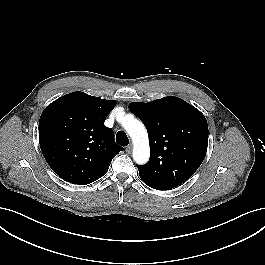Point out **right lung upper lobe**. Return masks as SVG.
Masks as SVG:
<instances>
[{
	"label": "right lung upper lobe",
	"instance_id": "cb5924a9",
	"mask_svg": "<svg viewBox=\"0 0 265 265\" xmlns=\"http://www.w3.org/2000/svg\"><path fill=\"white\" fill-rule=\"evenodd\" d=\"M115 105L114 100L72 92L45 108L39 121L40 147L59 177L86 185L106 174L111 160L123 150L104 125Z\"/></svg>",
	"mask_w": 265,
	"mask_h": 265
}]
</instances>
